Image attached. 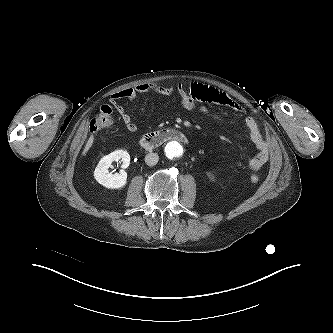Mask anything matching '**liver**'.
Here are the masks:
<instances>
[{"mask_svg":"<svg viewBox=\"0 0 333 333\" xmlns=\"http://www.w3.org/2000/svg\"><path fill=\"white\" fill-rule=\"evenodd\" d=\"M93 142H94V136L91 135L90 138L88 139L86 145H85V148H84L83 153H82L83 155H85L88 152V150L93 145Z\"/></svg>","mask_w":333,"mask_h":333,"instance_id":"liver-1","label":"liver"}]
</instances>
